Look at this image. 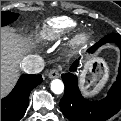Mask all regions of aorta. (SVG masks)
<instances>
[{"label":"aorta","mask_w":121,"mask_h":121,"mask_svg":"<svg viewBox=\"0 0 121 121\" xmlns=\"http://www.w3.org/2000/svg\"><path fill=\"white\" fill-rule=\"evenodd\" d=\"M51 91L54 94H61L64 91V84L60 79H54L51 82Z\"/></svg>","instance_id":"762f6f07"}]
</instances>
